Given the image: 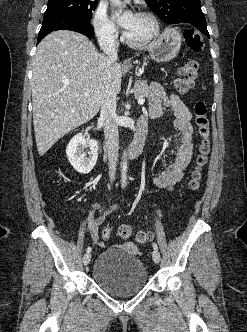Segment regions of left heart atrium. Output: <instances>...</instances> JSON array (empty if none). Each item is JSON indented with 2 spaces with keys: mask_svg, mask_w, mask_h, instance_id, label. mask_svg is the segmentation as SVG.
<instances>
[{
  "mask_svg": "<svg viewBox=\"0 0 247 332\" xmlns=\"http://www.w3.org/2000/svg\"><path fill=\"white\" fill-rule=\"evenodd\" d=\"M135 18L136 14L131 10L125 11L122 14H117L116 16L119 25L126 31L132 26Z\"/></svg>",
  "mask_w": 247,
  "mask_h": 332,
  "instance_id": "left-heart-atrium-1",
  "label": "left heart atrium"
}]
</instances>
